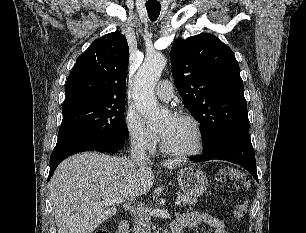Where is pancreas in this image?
Returning a JSON list of instances; mask_svg holds the SVG:
<instances>
[{
	"label": "pancreas",
	"mask_w": 306,
	"mask_h": 233,
	"mask_svg": "<svg viewBox=\"0 0 306 233\" xmlns=\"http://www.w3.org/2000/svg\"><path fill=\"white\" fill-rule=\"evenodd\" d=\"M178 199L181 200L182 204L180 206L183 208H186V206L194 205L198 201L197 198L184 194H179Z\"/></svg>",
	"instance_id": "pancreas-1"
}]
</instances>
